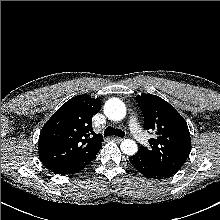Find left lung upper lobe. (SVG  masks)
I'll use <instances>...</instances> for the list:
<instances>
[{"label":"left lung upper lobe","instance_id":"left-lung-upper-lobe-1","mask_svg":"<svg viewBox=\"0 0 220 220\" xmlns=\"http://www.w3.org/2000/svg\"><path fill=\"white\" fill-rule=\"evenodd\" d=\"M144 114V129L154 132L150 147L141 146L139 154L159 165L178 171L191 151L190 132L184 118L164 99L144 94L136 98Z\"/></svg>","mask_w":220,"mask_h":220}]
</instances>
